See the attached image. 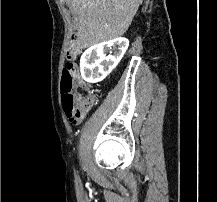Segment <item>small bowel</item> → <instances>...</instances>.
Instances as JSON below:
<instances>
[{"mask_svg": "<svg viewBox=\"0 0 217 202\" xmlns=\"http://www.w3.org/2000/svg\"><path fill=\"white\" fill-rule=\"evenodd\" d=\"M78 119H79V121H84L85 118H84V116H79Z\"/></svg>", "mask_w": 217, "mask_h": 202, "instance_id": "small-bowel-1", "label": "small bowel"}]
</instances>
